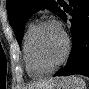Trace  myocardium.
Returning a JSON list of instances; mask_svg holds the SVG:
<instances>
[{"instance_id":"myocardium-1","label":"myocardium","mask_w":89,"mask_h":89,"mask_svg":"<svg viewBox=\"0 0 89 89\" xmlns=\"http://www.w3.org/2000/svg\"><path fill=\"white\" fill-rule=\"evenodd\" d=\"M49 24H53L55 25L52 21L50 20H44L40 23H38L32 33V36H31V40H30V51H31V57L33 59V62H34V65L36 66V68L46 74L48 73H51L52 71H54L55 69H57L60 65H62L64 63V61L66 60L68 54H69V50H70V41H69V38L67 36V34L62 31L60 28V31L63 35V38H64V42H65V47H64V51H63V54L62 56L60 57V59L52 66L50 67H44L41 65L40 61H39V58L37 56V53H36V41H37V38H38V35L41 31V29L46 26V25H49Z\"/></svg>"}]
</instances>
